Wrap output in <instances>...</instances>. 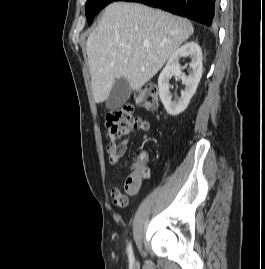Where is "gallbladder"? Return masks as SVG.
Segmentation results:
<instances>
[{
	"label": "gallbladder",
	"mask_w": 265,
	"mask_h": 269,
	"mask_svg": "<svg viewBox=\"0 0 265 269\" xmlns=\"http://www.w3.org/2000/svg\"><path fill=\"white\" fill-rule=\"evenodd\" d=\"M130 94L131 88L128 81L124 78L116 80L106 100V107L110 110L120 108L129 99Z\"/></svg>",
	"instance_id": "bac80fb5"
}]
</instances>
